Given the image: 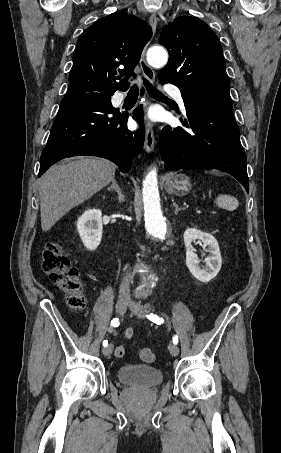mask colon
<instances>
[{"label":"colon","mask_w":281,"mask_h":453,"mask_svg":"<svg viewBox=\"0 0 281 453\" xmlns=\"http://www.w3.org/2000/svg\"><path fill=\"white\" fill-rule=\"evenodd\" d=\"M42 256L44 272L68 296V302L72 310L85 312L86 303L82 292L79 271L71 265L68 253L57 242H46L42 245ZM138 355L143 363H154L157 361L156 354L149 349H140Z\"/></svg>","instance_id":"1"}]
</instances>
